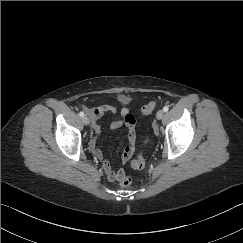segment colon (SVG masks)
<instances>
[{
    "mask_svg": "<svg viewBox=\"0 0 243 243\" xmlns=\"http://www.w3.org/2000/svg\"><path fill=\"white\" fill-rule=\"evenodd\" d=\"M157 106L155 101H150L146 105L143 106L142 112L144 114L151 113ZM148 139H144L143 142H146ZM145 165V160L142 153H138L137 157L131 162V166L133 169H142ZM132 180L130 177H123L120 180V185L124 188H127L131 185Z\"/></svg>",
    "mask_w": 243,
    "mask_h": 243,
    "instance_id": "obj_1",
    "label": "colon"
}]
</instances>
